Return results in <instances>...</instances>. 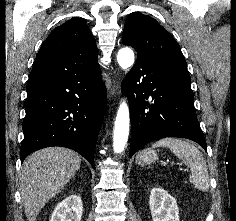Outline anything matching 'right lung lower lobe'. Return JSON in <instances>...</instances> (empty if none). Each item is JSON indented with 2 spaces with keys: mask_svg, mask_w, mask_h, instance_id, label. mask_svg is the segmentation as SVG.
Returning a JSON list of instances; mask_svg holds the SVG:
<instances>
[{
  "mask_svg": "<svg viewBox=\"0 0 236 221\" xmlns=\"http://www.w3.org/2000/svg\"><path fill=\"white\" fill-rule=\"evenodd\" d=\"M21 162L32 152L63 146L94 167V148L102 125L106 88L100 70L27 87Z\"/></svg>",
  "mask_w": 236,
  "mask_h": 221,
  "instance_id": "98d812e1",
  "label": "right lung lower lobe"
}]
</instances>
